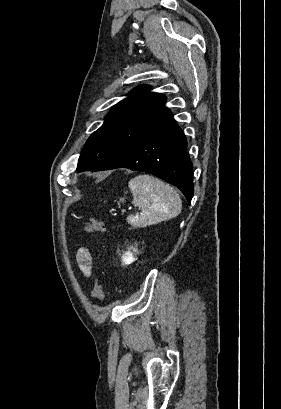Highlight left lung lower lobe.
<instances>
[{"label":"left lung lower lobe","instance_id":"left-lung-lower-lobe-1","mask_svg":"<svg viewBox=\"0 0 281 409\" xmlns=\"http://www.w3.org/2000/svg\"><path fill=\"white\" fill-rule=\"evenodd\" d=\"M186 147V137L172 118L155 132L113 157L98 171L129 168L151 173L177 186L190 202L194 192L193 165Z\"/></svg>","mask_w":281,"mask_h":409}]
</instances>
